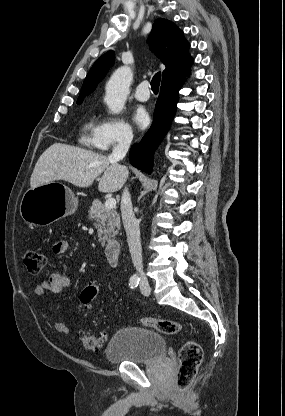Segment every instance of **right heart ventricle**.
<instances>
[{"mask_svg":"<svg viewBox=\"0 0 285 416\" xmlns=\"http://www.w3.org/2000/svg\"><path fill=\"white\" fill-rule=\"evenodd\" d=\"M94 129H95V118L90 117L88 119V121L86 122V124L84 125V128H83V131H84L83 140L88 145H89V140H90L91 134L94 131Z\"/></svg>","mask_w":285,"mask_h":416,"instance_id":"1","label":"right heart ventricle"}]
</instances>
